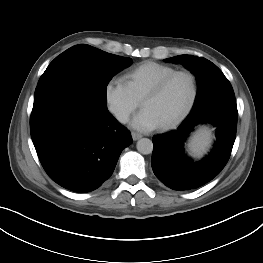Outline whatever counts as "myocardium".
Segmentation results:
<instances>
[{"label":"myocardium","mask_w":263,"mask_h":263,"mask_svg":"<svg viewBox=\"0 0 263 263\" xmlns=\"http://www.w3.org/2000/svg\"><path fill=\"white\" fill-rule=\"evenodd\" d=\"M187 76L192 84V94H191V98L190 101L188 103V105L186 106V108L172 121L160 125V129L161 130H169L172 129L174 127H176L177 125H179L189 114L190 112L193 110L197 98H198V94H199V85H198V80L196 75L190 71V70H176L168 75H166L165 77H163L162 79H160L141 99V105L143 106V104L149 100V99H153L155 97H157L158 95L161 94V92L166 88V86L170 83L171 80H173L175 77L177 76Z\"/></svg>","instance_id":"f54148a6"}]
</instances>
